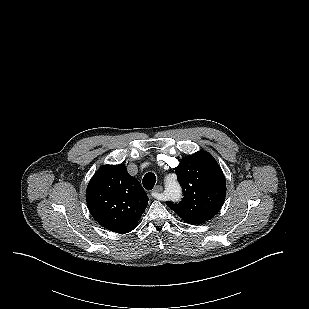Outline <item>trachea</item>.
<instances>
[{"label":"trachea","mask_w":309,"mask_h":309,"mask_svg":"<svg viewBox=\"0 0 309 309\" xmlns=\"http://www.w3.org/2000/svg\"><path fill=\"white\" fill-rule=\"evenodd\" d=\"M155 182H156V176L152 172L147 173L142 180L143 186L147 190H151L154 187Z\"/></svg>","instance_id":"trachea-1"}]
</instances>
